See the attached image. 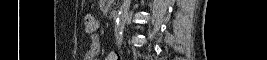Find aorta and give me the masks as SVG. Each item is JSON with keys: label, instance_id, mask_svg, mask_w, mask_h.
Here are the masks:
<instances>
[{"label": "aorta", "instance_id": "762f6f07", "mask_svg": "<svg viewBox=\"0 0 267 60\" xmlns=\"http://www.w3.org/2000/svg\"><path fill=\"white\" fill-rule=\"evenodd\" d=\"M131 0H123L122 5L120 7L116 24H115V38L118 44H121L123 40V30L126 23V18L128 15V11L130 8Z\"/></svg>", "mask_w": 267, "mask_h": 60}]
</instances>
